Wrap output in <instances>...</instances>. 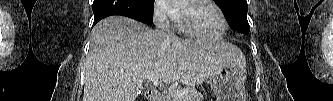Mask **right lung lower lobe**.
Here are the masks:
<instances>
[{
  "label": "right lung lower lobe",
  "mask_w": 333,
  "mask_h": 101,
  "mask_svg": "<svg viewBox=\"0 0 333 101\" xmlns=\"http://www.w3.org/2000/svg\"><path fill=\"white\" fill-rule=\"evenodd\" d=\"M93 13V26L101 19L112 15H121L140 22H148L142 10L133 0H94Z\"/></svg>",
  "instance_id": "right-lung-lower-lobe-1"
}]
</instances>
